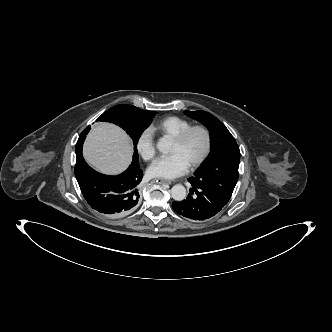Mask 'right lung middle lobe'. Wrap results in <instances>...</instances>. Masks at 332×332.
I'll return each mask as SVG.
<instances>
[{
	"label": "right lung middle lobe",
	"mask_w": 332,
	"mask_h": 332,
	"mask_svg": "<svg viewBox=\"0 0 332 332\" xmlns=\"http://www.w3.org/2000/svg\"><path fill=\"white\" fill-rule=\"evenodd\" d=\"M156 112L121 104L103 113L97 120L114 123L123 128L133 139L134 155L132 163H138L137 142L142 132L151 124Z\"/></svg>",
	"instance_id": "right-lung-middle-lobe-1"
}]
</instances>
